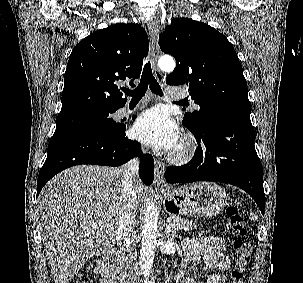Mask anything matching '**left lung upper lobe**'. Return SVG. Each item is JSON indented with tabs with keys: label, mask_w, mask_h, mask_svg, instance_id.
Here are the masks:
<instances>
[{
	"label": "left lung upper lobe",
	"mask_w": 303,
	"mask_h": 283,
	"mask_svg": "<svg viewBox=\"0 0 303 283\" xmlns=\"http://www.w3.org/2000/svg\"><path fill=\"white\" fill-rule=\"evenodd\" d=\"M162 52L176 60L169 85H187L200 109L186 113L183 125L200 131L216 119L250 121L247 82L236 52L220 32L188 18H173L159 36Z\"/></svg>",
	"instance_id": "obj_1"
}]
</instances>
